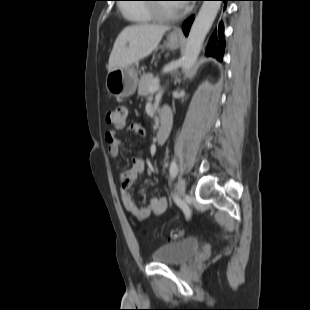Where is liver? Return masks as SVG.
I'll return each instance as SVG.
<instances>
[{
  "label": "liver",
  "instance_id": "liver-1",
  "mask_svg": "<svg viewBox=\"0 0 310 310\" xmlns=\"http://www.w3.org/2000/svg\"><path fill=\"white\" fill-rule=\"evenodd\" d=\"M169 26L141 24L124 28L111 51L108 72L137 64L157 49Z\"/></svg>",
  "mask_w": 310,
  "mask_h": 310
}]
</instances>
